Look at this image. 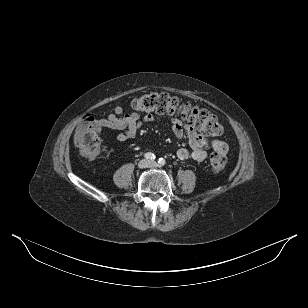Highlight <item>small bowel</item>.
Returning a JSON list of instances; mask_svg holds the SVG:
<instances>
[{
	"label": "small bowel",
	"instance_id": "small-bowel-1",
	"mask_svg": "<svg viewBox=\"0 0 308 308\" xmlns=\"http://www.w3.org/2000/svg\"><path fill=\"white\" fill-rule=\"evenodd\" d=\"M158 117L157 114L146 113L141 115L140 112L125 113L121 106H116L114 112L106 118L101 119L102 127H107L113 130L120 131L117 139L120 142H126L136 137L138 132L144 125L149 124ZM171 129L177 138H182L184 135L189 142V148L182 147L177 151V157L182 160H195L202 162L207 158L205 148L212 147L215 152L226 155L228 145L226 142L218 139L210 140L205 135L198 133L197 130L187 123L170 116Z\"/></svg>",
	"mask_w": 308,
	"mask_h": 308
}]
</instances>
